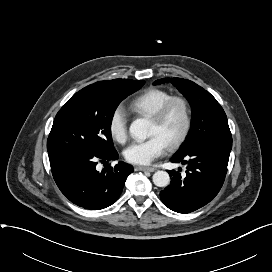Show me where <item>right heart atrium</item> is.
Wrapping results in <instances>:
<instances>
[{
    "label": "right heart atrium",
    "mask_w": 272,
    "mask_h": 272,
    "mask_svg": "<svg viewBox=\"0 0 272 272\" xmlns=\"http://www.w3.org/2000/svg\"><path fill=\"white\" fill-rule=\"evenodd\" d=\"M108 130L111 137L118 143H125L128 135L127 118L124 110L117 107L110 115Z\"/></svg>",
    "instance_id": "1"
}]
</instances>
